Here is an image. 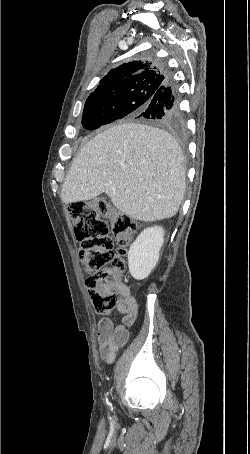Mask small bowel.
<instances>
[{
    "label": "small bowel",
    "mask_w": 250,
    "mask_h": 454,
    "mask_svg": "<svg viewBox=\"0 0 250 454\" xmlns=\"http://www.w3.org/2000/svg\"><path fill=\"white\" fill-rule=\"evenodd\" d=\"M120 294L122 299L117 305V311L122 316L121 324L114 325L111 318L104 316L100 319L97 329L99 353L106 364L115 360L116 353L129 339V328L134 324L138 306L129 288L122 284Z\"/></svg>",
    "instance_id": "c3829d8e"
}]
</instances>
